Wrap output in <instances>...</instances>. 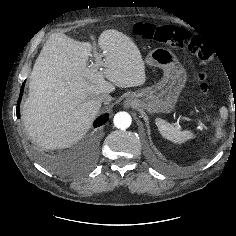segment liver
Here are the masks:
<instances>
[{
    "label": "liver",
    "instance_id": "liver-1",
    "mask_svg": "<svg viewBox=\"0 0 236 236\" xmlns=\"http://www.w3.org/2000/svg\"><path fill=\"white\" fill-rule=\"evenodd\" d=\"M98 45L103 60L91 67L92 46L63 32L44 44L30 75L22 121L31 139L45 149L67 148L89 130L101 108L100 95L146 82L145 62L134 41L116 30H104ZM103 64L104 70L98 71Z\"/></svg>",
    "mask_w": 236,
    "mask_h": 236
}]
</instances>
